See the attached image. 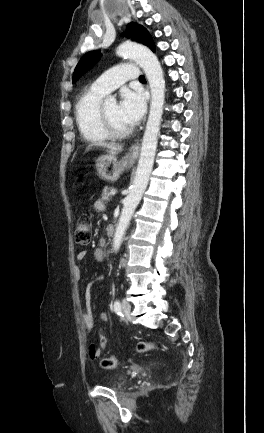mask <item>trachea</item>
I'll use <instances>...</instances> for the list:
<instances>
[{"label":"trachea","mask_w":264,"mask_h":433,"mask_svg":"<svg viewBox=\"0 0 264 433\" xmlns=\"http://www.w3.org/2000/svg\"><path fill=\"white\" fill-rule=\"evenodd\" d=\"M139 80H145V77H144L143 75H141V76L139 77Z\"/></svg>","instance_id":"3493384b"}]
</instances>
